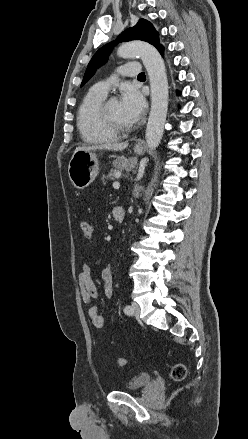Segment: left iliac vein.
<instances>
[{
	"instance_id": "4c4485c4",
	"label": "left iliac vein",
	"mask_w": 248,
	"mask_h": 439,
	"mask_svg": "<svg viewBox=\"0 0 248 439\" xmlns=\"http://www.w3.org/2000/svg\"><path fill=\"white\" fill-rule=\"evenodd\" d=\"M131 307H132V314L131 315L138 317L139 313H140L139 305L137 303H132Z\"/></svg>"
}]
</instances>
